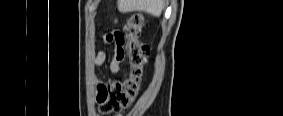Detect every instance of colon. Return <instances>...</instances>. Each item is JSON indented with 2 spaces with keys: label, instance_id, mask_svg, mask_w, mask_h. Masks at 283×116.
I'll list each match as a JSON object with an SVG mask.
<instances>
[{
  "label": "colon",
  "instance_id": "obj_1",
  "mask_svg": "<svg viewBox=\"0 0 283 116\" xmlns=\"http://www.w3.org/2000/svg\"><path fill=\"white\" fill-rule=\"evenodd\" d=\"M143 23V14L135 12L127 19L123 31L118 32L129 60V73L122 81L97 87L98 111L101 114H114L126 109L139 92L147 58L146 48L138 39Z\"/></svg>",
  "mask_w": 283,
  "mask_h": 116
}]
</instances>
